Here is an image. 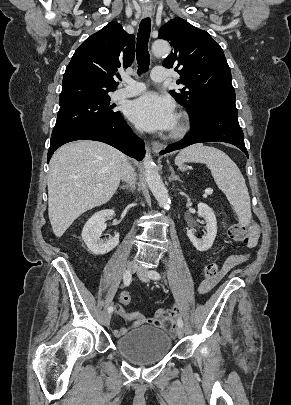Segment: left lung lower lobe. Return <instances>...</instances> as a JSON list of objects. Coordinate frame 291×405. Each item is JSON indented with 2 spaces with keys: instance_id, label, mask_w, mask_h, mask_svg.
Returning a JSON list of instances; mask_svg holds the SVG:
<instances>
[{
  "instance_id": "left-lung-lower-lobe-1",
  "label": "left lung lower lobe",
  "mask_w": 291,
  "mask_h": 405,
  "mask_svg": "<svg viewBox=\"0 0 291 405\" xmlns=\"http://www.w3.org/2000/svg\"><path fill=\"white\" fill-rule=\"evenodd\" d=\"M194 131L183 140L168 146L160 154L185 148L200 142L221 141L240 148L248 157L244 134L238 122V110L233 100H217L205 104L201 118L190 120Z\"/></svg>"
}]
</instances>
